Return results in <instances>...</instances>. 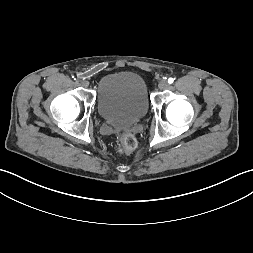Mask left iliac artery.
<instances>
[{
	"label": "left iliac artery",
	"mask_w": 253,
	"mask_h": 253,
	"mask_svg": "<svg viewBox=\"0 0 253 253\" xmlns=\"http://www.w3.org/2000/svg\"><path fill=\"white\" fill-rule=\"evenodd\" d=\"M173 82H174V79H173V78H169V79H168V83H169V84H171V83H173Z\"/></svg>",
	"instance_id": "left-iliac-artery-1"
}]
</instances>
